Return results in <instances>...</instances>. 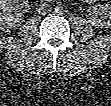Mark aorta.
<instances>
[{"mask_svg":"<svg viewBox=\"0 0 111 106\" xmlns=\"http://www.w3.org/2000/svg\"><path fill=\"white\" fill-rule=\"evenodd\" d=\"M55 12H57V13L63 12V6H62V5H57V6L55 7Z\"/></svg>","mask_w":111,"mask_h":106,"instance_id":"1","label":"aorta"}]
</instances>
